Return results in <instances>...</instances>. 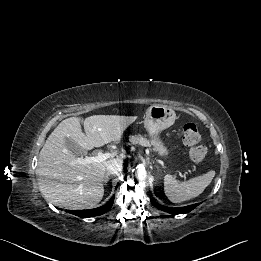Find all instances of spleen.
I'll return each instance as SVG.
<instances>
[{"instance_id": "1", "label": "spleen", "mask_w": 261, "mask_h": 261, "mask_svg": "<svg viewBox=\"0 0 261 261\" xmlns=\"http://www.w3.org/2000/svg\"><path fill=\"white\" fill-rule=\"evenodd\" d=\"M215 171L211 170L202 176L179 182L172 175L164 177V192L170 201L179 203L200 195L211 183Z\"/></svg>"}]
</instances>
